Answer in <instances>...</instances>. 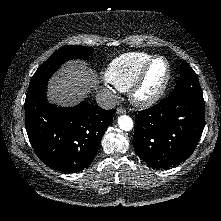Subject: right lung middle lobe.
Instances as JSON below:
<instances>
[{
	"label": "right lung middle lobe",
	"instance_id": "obj_1",
	"mask_svg": "<svg viewBox=\"0 0 221 221\" xmlns=\"http://www.w3.org/2000/svg\"><path fill=\"white\" fill-rule=\"evenodd\" d=\"M93 50L92 47L69 45L55 51L33 75L26 96L33 94L41 86L47 84V81L53 73L56 72L67 60L87 58L91 55Z\"/></svg>",
	"mask_w": 221,
	"mask_h": 221
}]
</instances>
